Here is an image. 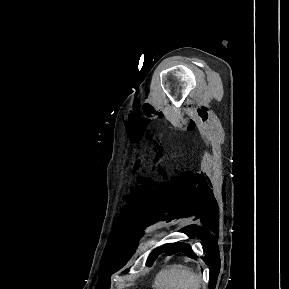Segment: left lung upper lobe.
<instances>
[{
    "label": "left lung upper lobe",
    "instance_id": "left-lung-upper-lobe-1",
    "mask_svg": "<svg viewBox=\"0 0 289 289\" xmlns=\"http://www.w3.org/2000/svg\"><path fill=\"white\" fill-rule=\"evenodd\" d=\"M164 247L165 246L157 248L151 253V255L148 258V263L149 264L152 263L157 258V256L161 253V251L163 250Z\"/></svg>",
    "mask_w": 289,
    "mask_h": 289
}]
</instances>
